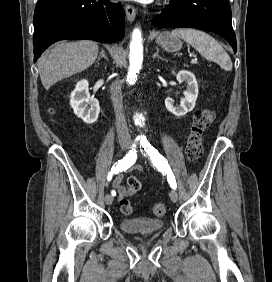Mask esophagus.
I'll return each mask as SVG.
<instances>
[{"instance_id": "34e87169", "label": "esophagus", "mask_w": 272, "mask_h": 282, "mask_svg": "<svg viewBox=\"0 0 272 282\" xmlns=\"http://www.w3.org/2000/svg\"><path fill=\"white\" fill-rule=\"evenodd\" d=\"M125 12H126V17H127V20L132 22L135 17H136V10L133 6L129 5V4H126L125 6Z\"/></svg>"}]
</instances>
